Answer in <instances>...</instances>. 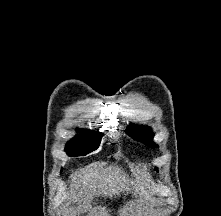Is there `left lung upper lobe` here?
Returning <instances> with one entry per match:
<instances>
[{
    "label": "left lung upper lobe",
    "mask_w": 221,
    "mask_h": 216,
    "mask_svg": "<svg viewBox=\"0 0 221 216\" xmlns=\"http://www.w3.org/2000/svg\"><path fill=\"white\" fill-rule=\"evenodd\" d=\"M126 131L128 135L135 138L137 141L143 142L147 146L158 147L152 141L153 132L150 127L130 125Z\"/></svg>",
    "instance_id": "obj_1"
}]
</instances>
